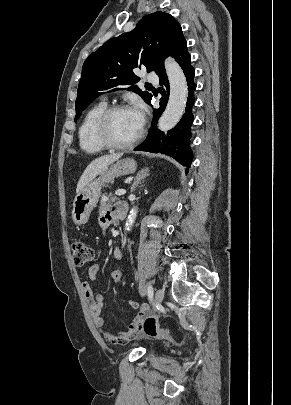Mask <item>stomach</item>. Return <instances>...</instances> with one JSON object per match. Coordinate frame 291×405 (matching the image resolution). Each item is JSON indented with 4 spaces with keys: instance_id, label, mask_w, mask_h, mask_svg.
<instances>
[{
    "instance_id": "0dacf381",
    "label": "stomach",
    "mask_w": 291,
    "mask_h": 405,
    "mask_svg": "<svg viewBox=\"0 0 291 405\" xmlns=\"http://www.w3.org/2000/svg\"><path fill=\"white\" fill-rule=\"evenodd\" d=\"M137 169L133 159L126 158L103 170L99 177L91 180L83 190L76 195L73 202L72 219L77 225L87 223L91 211L96 207L101 195L102 187L115 178L134 173Z\"/></svg>"
}]
</instances>
